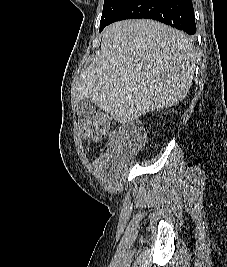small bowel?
<instances>
[{"label":"small bowel","mask_w":227,"mask_h":267,"mask_svg":"<svg viewBox=\"0 0 227 267\" xmlns=\"http://www.w3.org/2000/svg\"><path fill=\"white\" fill-rule=\"evenodd\" d=\"M119 133H115L114 138H118ZM109 159V154L105 153L103 155H99L96 160H95V164L99 167H101L106 161H108Z\"/></svg>","instance_id":"small-bowel-1"}]
</instances>
